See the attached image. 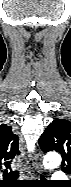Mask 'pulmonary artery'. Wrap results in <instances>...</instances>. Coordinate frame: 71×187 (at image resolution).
Returning a JSON list of instances; mask_svg holds the SVG:
<instances>
[{
  "label": "pulmonary artery",
  "mask_w": 71,
  "mask_h": 187,
  "mask_svg": "<svg viewBox=\"0 0 71 187\" xmlns=\"http://www.w3.org/2000/svg\"><path fill=\"white\" fill-rule=\"evenodd\" d=\"M53 178L57 180H62L66 178V175L63 172H56Z\"/></svg>",
  "instance_id": "1"
}]
</instances>
